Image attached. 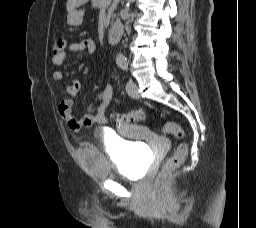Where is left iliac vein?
I'll list each match as a JSON object with an SVG mask.
<instances>
[{
  "label": "left iliac vein",
  "instance_id": "obj_1",
  "mask_svg": "<svg viewBox=\"0 0 256 228\" xmlns=\"http://www.w3.org/2000/svg\"><path fill=\"white\" fill-rule=\"evenodd\" d=\"M126 91L127 94L134 99H138L140 97L138 85L132 79L128 81L126 85Z\"/></svg>",
  "mask_w": 256,
  "mask_h": 228
}]
</instances>
